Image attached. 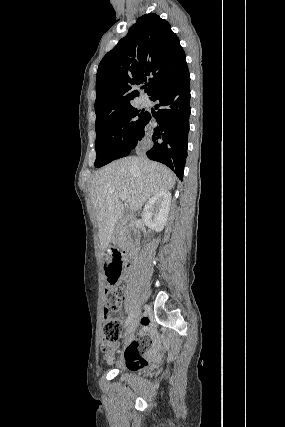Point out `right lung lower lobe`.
Returning <instances> with one entry per match:
<instances>
[{
  "label": "right lung lower lobe",
  "instance_id": "right-lung-lower-lobe-1",
  "mask_svg": "<svg viewBox=\"0 0 285 427\" xmlns=\"http://www.w3.org/2000/svg\"><path fill=\"white\" fill-rule=\"evenodd\" d=\"M150 99L159 101L155 107L158 111L153 114L157 126L151 133L149 124L152 116L147 113L139 142L145 137L151 138L152 143L146 152L148 158L167 165L182 180L189 133V71L177 81L156 91Z\"/></svg>",
  "mask_w": 285,
  "mask_h": 427
}]
</instances>
